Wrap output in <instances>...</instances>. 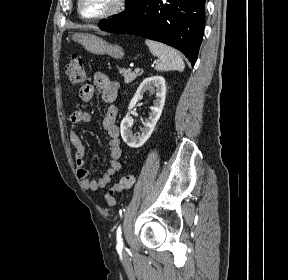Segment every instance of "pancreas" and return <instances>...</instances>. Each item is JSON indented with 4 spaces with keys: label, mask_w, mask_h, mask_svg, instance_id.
Returning <instances> with one entry per match:
<instances>
[{
    "label": "pancreas",
    "mask_w": 288,
    "mask_h": 280,
    "mask_svg": "<svg viewBox=\"0 0 288 280\" xmlns=\"http://www.w3.org/2000/svg\"><path fill=\"white\" fill-rule=\"evenodd\" d=\"M119 73L124 77L125 83H130L137 78V74L130 69L119 68Z\"/></svg>",
    "instance_id": "1"
}]
</instances>
